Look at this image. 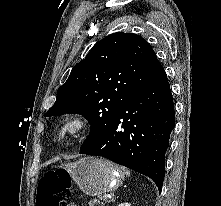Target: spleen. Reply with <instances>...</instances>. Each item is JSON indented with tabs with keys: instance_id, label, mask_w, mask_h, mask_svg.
Segmentation results:
<instances>
[{
	"instance_id": "spleen-1",
	"label": "spleen",
	"mask_w": 221,
	"mask_h": 206,
	"mask_svg": "<svg viewBox=\"0 0 221 206\" xmlns=\"http://www.w3.org/2000/svg\"><path fill=\"white\" fill-rule=\"evenodd\" d=\"M125 173H126L127 176H130V171L129 170H126Z\"/></svg>"
}]
</instances>
